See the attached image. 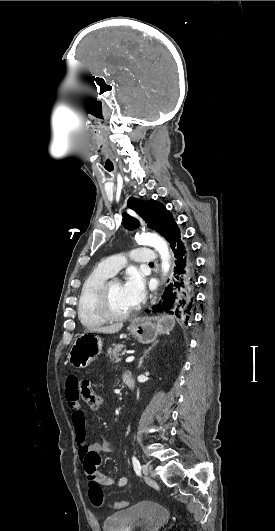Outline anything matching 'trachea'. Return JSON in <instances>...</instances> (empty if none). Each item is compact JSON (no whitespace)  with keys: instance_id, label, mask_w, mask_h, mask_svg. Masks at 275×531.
I'll list each match as a JSON object with an SVG mask.
<instances>
[{"instance_id":"3493384b","label":"trachea","mask_w":275,"mask_h":531,"mask_svg":"<svg viewBox=\"0 0 275 531\" xmlns=\"http://www.w3.org/2000/svg\"><path fill=\"white\" fill-rule=\"evenodd\" d=\"M149 266H154V263H149Z\"/></svg>"}]
</instances>
